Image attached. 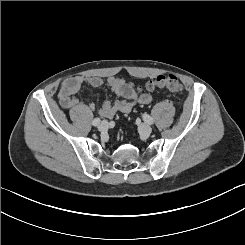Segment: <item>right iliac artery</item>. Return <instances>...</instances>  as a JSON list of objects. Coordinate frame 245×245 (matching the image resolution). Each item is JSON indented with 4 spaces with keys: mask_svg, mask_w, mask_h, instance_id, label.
<instances>
[{
    "mask_svg": "<svg viewBox=\"0 0 245 245\" xmlns=\"http://www.w3.org/2000/svg\"><path fill=\"white\" fill-rule=\"evenodd\" d=\"M101 120L100 118H95L93 121H92V124L93 126H98L100 124Z\"/></svg>",
    "mask_w": 245,
    "mask_h": 245,
    "instance_id": "1",
    "label": "right iliac artery"
}]
</instances>
